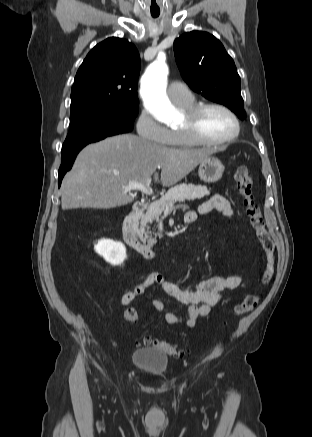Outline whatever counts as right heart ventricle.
Masks as SVG:
<instances>
[{
    "mask_svg": "<svg viewBox=\"0 0 312 437\" xmlns=\"http://www.w3.org/2000/svg\"><path fill=\"white\" fill-rule=\"evenodd\" d=\"M195 99L194 97L187 103L184 104H177L180 108L183 110H187L195 105ZM170 139L167 143L170 146L174 147H191L194 146L193 143H191L186 136L183 134V132L180 129L172 130L170 131Z\"/></svg>",
    "mask_w": 312,
    "mask_h": 437,
    "instance_id": "1",
    "label": "right heart ventricle"
}]
</instances>
